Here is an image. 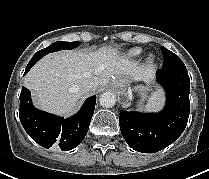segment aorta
I'll return each instance as SVG.
<instances>
[{
	"instance_id": "aorta-1",
	"label": "aorta",
	"mask_w": 209,
	"mask_h": 179,
	"mask_svg": "<svg viewBox=\"0 0 209 179\" xmlns=\"http://www.w3.org/2000/svg\"><path fill=\"white\" fill-rule=\"evenodd\" d=\"M99 102L102 107L110 108L115 105L116 103V96L114 93L108 91L104 92L100 95Z\"/></svg>"
}]
</instances>
